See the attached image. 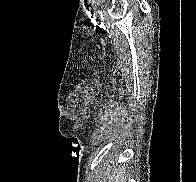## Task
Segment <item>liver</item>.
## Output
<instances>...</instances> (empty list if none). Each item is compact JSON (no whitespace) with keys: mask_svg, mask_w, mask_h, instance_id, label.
I'll return each instance as SVG.
<instances>
[{"mask_svg":"<svg viewBox=\"0 0 196 182\" xmlns=\"http://www.w3.org/2000/svg\"><path fill=\"white\" fill-rule=\"evenodd\" d=\"M110 170H112V173L109 176V182H121V180L124 179V176H125V169L124 168L119 167L116 169H112V167H109L107 169V172H110ZM105 176H106V174H105Z\"/></svg>","mask_w":196,"mask_h":182,"instance_id":"1","label":"liver"}]
</instances>
